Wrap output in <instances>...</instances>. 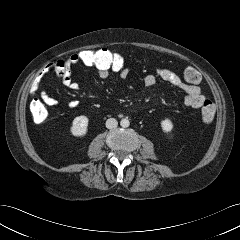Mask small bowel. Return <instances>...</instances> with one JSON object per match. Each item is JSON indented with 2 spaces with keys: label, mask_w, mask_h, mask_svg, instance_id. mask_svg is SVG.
Masks as SVG:
<instances>
[{
  "label": "small bowel",
  "mask_w": 240,
  "mask_h": 240,
  "mask_svg": "<svg viewBox=\"0 0 240 240\" xmlns=\"http://www.w3.org/2000/svg\"><path fill=\"white\" fill-rule=\"evenodd\" d=\"M77 65L74 59V55H69L64 58L57 59L54 61L50 67L54 69L57 73L58 79L64 86L70 88L71 90L77 91L79 89V84L72 78L71 69L73 66ZM111 70L106 68H97V74L100 79H106L109 77ZM119 76L123 79L127 78L129 71L127 68L120 72H117ZM157 76L163 81L169 83L170 85L179 88L185 93L184 104L191 108H200L203 106L204 102L207 100L203 95L201 88L196 84L185 83L178 74L172 70L164 67H159L156 70V75L148 74L144 77V84L147 87H152L157 82ZM38 91V84H35L32 89V95H35ZM42 100L49 106H55L58 101L55 97L50 95L47 91L41 92ZM78 105V101L71 100L68 103L70 108H75Z\"/></svg>",
  "instance_id": "obj_1"
}]
</instances>
